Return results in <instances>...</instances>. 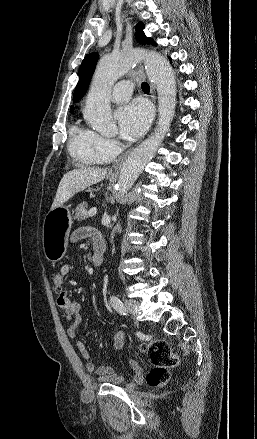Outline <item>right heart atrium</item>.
I'll use <instances>...</instances> for the list:
<instances>
[{
    "instance_id": "d8ad5b80",
    "label": "right heart atrium",
    "mask_w": 257,
    "mask_h": 439,
    "mask_svg": "<svg viewBox=\"0 0 257 439\" xmlns=\"http://www.w3.org/2000/svg\"><path fill=\"white\" fill-rule=\"evenodd\" d=\"M94 149L105 161L109 160L116 153L117 141L95 133Z\"/></svg>"
}]
</instances>
